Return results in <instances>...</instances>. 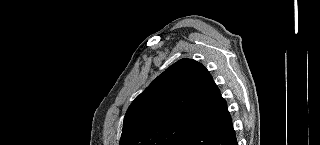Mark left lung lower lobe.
I'll list each match as a JSON object with an SVG mask.
<instances>
[{"instance_id": "0a47b994", "label": "left lung lower lobe", "mask_w": 320, "mask_h": 145, "mask_svg": "<svg viewBox=\"0 0 320 145\" xmlns=\"http://www.w3.org/2000/svg\"><path fill=\"white\" fill-rule=\"evenodd\" d=\"M214 105L209 115L189 130L179 145H237L226 101L212 81Z\"/></svg>"}]
</instances>
